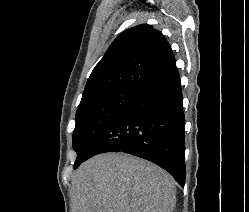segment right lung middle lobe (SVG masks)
Instances as JSON below:
<instances>
[{
  "mask_svg": "<svg viewBox=\"0 0 249 212\" xmlns=\"http://www.w3.org/2000/svg\"><path fill=\"white\" fill-rule=\"evenodd\" d=\"M138 94L133 91L108 92L80 103L72 137L73 148L77 153L75 169L86 160L102 132Z\"/></svg>",
  "mask_w": 249,
  "mask_h": 212,
  "instance_id": "right-lung-middle-lobe-1",
  "label": "right lung middle lobe"
}]
</instances>
